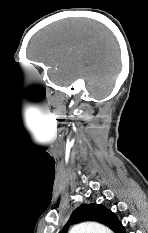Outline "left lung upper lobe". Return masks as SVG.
<instances>
[{"label": "left lung upper lobe", "instance_id": "obj_1", "mask_svg": "<svg viewBox=\"0 0 148 233\" xmlns=\"http://www.w3.org/2000/svg\"><path fill=\"white\" fill-rule=\"evenodd\" d=\"M83 221H96L109 227L114 233H125L124 227L113 212L101 204H83L73 211L60 233H66L69 225Z\"/></svg>", "mask_w": 148, "mask_h": 233}]
</instances>
